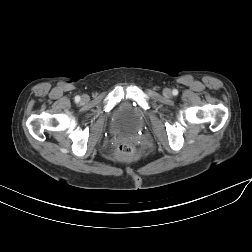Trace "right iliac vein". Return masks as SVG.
Instances as JSON below:
<instances>
[{
  "instance_id": "63e3f726",
  "label": "right iliac vein",
  "mask_w": 252,
  "mask_h": 252,
  "mask_svg": "<svg viewBox=\"0 0 252 252\" xmlns=\"http://www.w3.org/2000/svg\"><path fill=\"white\" fill-rule=\"evenodd\" d=\"M82 100H83V101H86V100H87V96L84 95V96L82 97Z\"/></svg>"
}]
</instances>
